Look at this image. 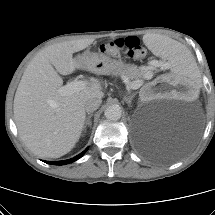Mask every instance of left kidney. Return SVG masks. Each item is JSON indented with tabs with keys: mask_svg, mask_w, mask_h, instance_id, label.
<instances>
[{
	"mask_svg": "<svg viewBox=\"0 0 215 215\" xmlns=\"http://www.w3.org/2000/svg\"><path fill=\"white\" fill-rule=\"evenodd\" d=\"M147 98L165 97L177 101H195L199 97L197 87L192 82H187L170 73H163L157 82H151L143 89Z\"/></svg>",
	"mask_w": 215,
	"mask_h": 215,
	"instance_id": "5707ae66",
	"label": "left kidney"
}]
</instances>
